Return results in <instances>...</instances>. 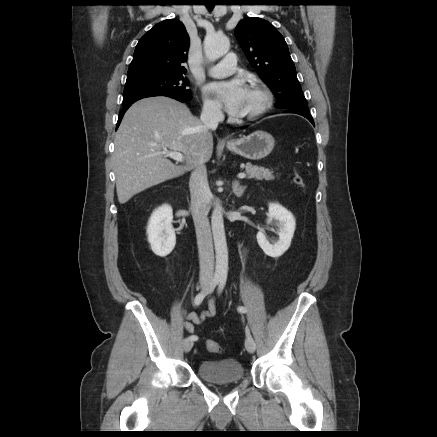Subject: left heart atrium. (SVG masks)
<instances>
[{
    "mask_svg": "<svg viewBox=\"0 0 437 437\" xmlns=\"http://www.w3.org/2000/svg\"><path fill=\"white\" fill-rule=\"evenodd\" d=\"M207 91L215 95L224 109L232 114L240 113L247 88L242 80L213 82L207 86Z\"/></svg>",
    "mask_w": 437,
    "mask_h": 437,
    "instance_id": "obj_1",
    "label": "left heart atrium"
}]
</instances>
